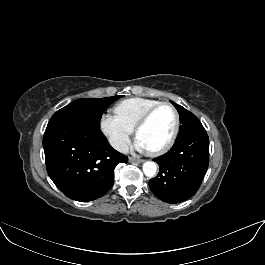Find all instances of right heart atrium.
I'll list each match as a JSON object with an SVG mask.
<instances>
[{
    "label": "right heart atrium",
    "instance_id": "obj_1",
    "mask_svg": "<svg viewBox=\"0 0 265 265\" xmlns=\"http://www.w3.org/2000/svg\"><path fill=\"white\" fill-rule=\"evenodd\" d=\"M100 125L110 144L116 150L123 151L128 144L133 129L112 113L103 114Z\"/></svg>",
    "mask_w": 265,
    "mask_h": 265
}]
</instances>
